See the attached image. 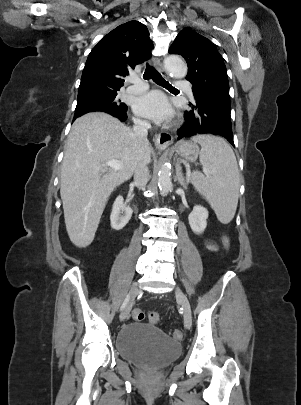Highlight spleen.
I'll list each match as a JSON object with an SVG mask.
<instances>
[{
    "label": "spleen",
    "mask_w": 301,
    "mask_h": 405,
    "mask_svg": "<svg viewBox=\"0 0 301 405\" xmlns=\"http://www.w3.org/2000/svg\"><path fill=\"white\" fill-rule=\"evenodd\" d=\"M201 145L203 173L194 172L191 182L209 202L218 220L229 223L236 212L239 192V170L235 154L224 139L212 135L192 138Z\"/></svg>",
    "instance_id": "3e777b00"
}]
</instances>
